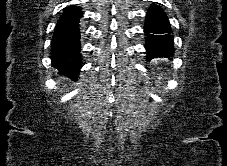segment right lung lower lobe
Here are the masks:
<instances>
[{
	"label": "right lung lower lobe",
	"mask_w": 227,
	"mask_h": 166,
	"mask_svg": "<svg viewBox=\"0 0 227 166\" xmlns=\"http://www.w3.org/2000/svg\"><path fill=\"white\" fill-rule=\"evenodd\" d=\"M82 14L75 6H69L60 17L52 39V65L61 73L76 79L81 68L80 30Z\"/></svg>",
	"instance_id": "right-lung-lower-lobe-1"
}]
</instances>
